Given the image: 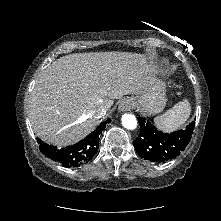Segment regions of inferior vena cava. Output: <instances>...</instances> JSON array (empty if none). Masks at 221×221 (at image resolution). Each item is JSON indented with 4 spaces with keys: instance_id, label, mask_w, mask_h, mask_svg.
Returning <instances> with one entry per match:
<instances>
[{
    "instance_id": "1",
    "label": "inferior vena cava",
    "mask_w": 221,
    "mask_h": 221,
    "mask_svg": "<svg viewBox=\"0 0 221 221\" xmlns=\"http://www.w3.org/2000/svg\"><path fill=\"white\" fill-rule=\"evenodd\" d=\"M107 109L105 107H99L95 110L94 115L97 118H101L103 116H105Z\"/></svg>"
}]
</instances>
